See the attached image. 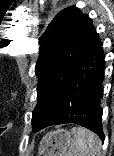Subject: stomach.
<instances>
[{"label":"stomach","instance_id":"stomach-1","mask_svg":"<svg viewBox=\"0 0 114 156\" xmlns=\"http://www.w3.org/2000/svg\"><path fill=\"white\" fill-rule=\"evenodd\" d=\"M73 143V132L58 128L43 136L38 148V156H67Z\"/></svg>","mask_w":114,"mask_h":156}]
</instances>
